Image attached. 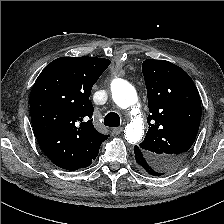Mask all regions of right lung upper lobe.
<instances>
[{
    "label": "right lung upper lobe",
    "instance_id": "cb5924a9",
    "mask_svg": "<svg viewBox=\"0 0 224 224\" xmlns=\"http://www.w3.org/2000/svg\"><path fill=\"white\" fill-rule=\"evenodd\" d=\"M97 57H61L40 73L30 94L33 131L45 155L75 171L91 165L109 135L93 126L92 86L109 66Z\"/></svg>",
    "mask_w": 224,
    "mask_h": 224
}]
</instances>
